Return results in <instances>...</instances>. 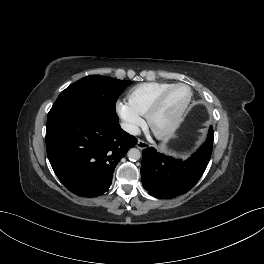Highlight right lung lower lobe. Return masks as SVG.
<instances>
[{"mask_svg":"<svg viewBox=\"0 0 264 264\" xmlns=\"http://www.w3.org/2000/svg\"><path fill=\"white\" fill-rule=\"evenodd\" d=\"M137 139L123 131L115 111L98 107L73 110L46 128V148L60 181L81 197L109 190L119 160Z\"/></svg>","mask_w":264,"mask_h":264,"instance_id":"obj_1","label":"right lung lower lobe"}]
</instances>
